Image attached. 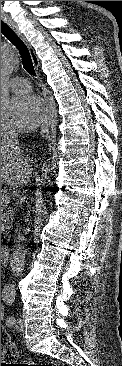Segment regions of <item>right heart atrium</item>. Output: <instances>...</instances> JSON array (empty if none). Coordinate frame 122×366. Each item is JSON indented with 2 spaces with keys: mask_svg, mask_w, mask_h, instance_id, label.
Masks as SVG:
<instances>
[{
  "mask_svg": "<svg viewBox=\"0 0 122 366\" xmlns=\"http://www.w3.org/2000/svg\"><path fill=\"white\" fill-rule=\"evenodd\" d=\"M7 132V127L4 126V124H1V136L2 134Z\"/></svg>",
  "mask_w": 122,
  "mask_h": 366,
  "instance_id": "1",
  "label": "right heart atrium"
}]
</instances>
